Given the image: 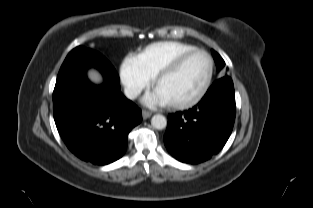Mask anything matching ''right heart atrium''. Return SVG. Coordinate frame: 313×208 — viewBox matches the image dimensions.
<instances>
[{"label": "right heart atrium", "mask_w": 313, "mask_h": 208, "mask_svg": "<svg viewBox=\"0 0 313 208\" xmlns=\"http://www.w3.org/2000/svg\"><path fill=\"white\" fill-rule=\"evenodd\" d=\"M121 76L128 94L132 97L137 96L142 90L146 89L152 81L149 75L135 65L134 59L124 63Z\"/></svg>", "instance_id": "obj_1"}]
</instances>
